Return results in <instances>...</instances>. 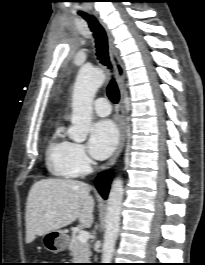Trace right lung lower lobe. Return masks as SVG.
<instances>
[{
    "label": "right lung lower lobe",
    "instance_id": "right-lung-lower-lobe-1",
    "mask_svg": "<svg viewBox=\"0 0 205 265\" xmlns=\"http://www.w3.org/2000/svg\"><path fill=\"white\" fill-rule=\"evenodd\" d=\"M111 182L110 172H103L95 180V185L104 199L107 198Z\"/></svg>",
    "mask_w": 205,
    "mask_h": 265
}]
</instances>
